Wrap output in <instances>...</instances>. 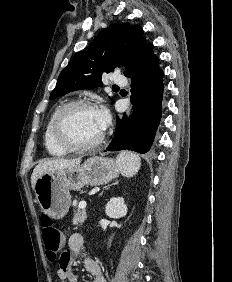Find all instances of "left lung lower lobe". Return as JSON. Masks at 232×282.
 Wrapping results in <instances>:
<instances>
[{
    "instance_id": "left-lung-lower-lobe-1",
    "label": "left lung lower lobe",
    "mask_w": 232,
    "mask_h": 282,
    "mask_svg": "<svg viewBox=\"0 0 232 282\" xmlns=\"http://www.w3.org/2000/svg\"><path fill=\"white\" fill-rule=\"evenodd\" d=\"M153 45L148 43L141 59L126 75H132V103L134 111L129 119L117 118L114 137L106 151L133 150L147 153L154 141L161 119L163 98V71Z\"/></svg>"
}]
</instances>
